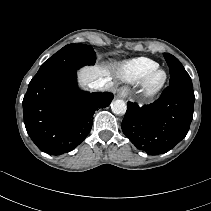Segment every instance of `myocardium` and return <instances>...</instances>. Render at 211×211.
I'll return each mask as SVG.
<instances>
[{
    "label": "myocardium",
    "instance_id": "1",
    "mask_svg": "<svg viewBox=\"0 0 211 211\" xmlns=\"http://www.w3.org/2000/svg\"><path fill=\"white\" fill-rule=\"evenodd\" d=\"M162 75L160 79H157L158 75ZM167 73L165 70L159 67L152 71L146 79L143 81L142 85V95L145 99L150 100L158 96L164 89L167 83Z\"/></svg>",
    "mask_w": 211,
    "mask_h": 211
}]
</instances>
